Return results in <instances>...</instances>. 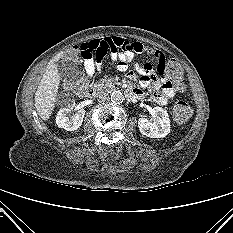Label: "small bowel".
<instances>
[{"instance_id":"1","label":"small bowel","mask_w":233,"mask_h":233,"mask_svg":"<svg viewBox=\"0 0 233 233\" xmlns=\"http://www.w3.org/2000/svg\"><path fill=\"white\" fill-rule=\"evenodd\" d=\"M79 54L83 58L86 74L92 77L95 73L101 71V63L105 56L110 54L112 61L117 63L118 69L124 71L134 58V53H146L157 60V70L159 71L165 62L164 54L156 49L148 48L140 42H132L119 37H106L101 39H93L82 43L78 47ZM154 67L150 63H146L140 68L141 78L140 86L147 88L150 84L154 89L152 99L158 105L167 104L169 98L175 96L178 90L169 85V80L154 76ZM130 79H136V74L132 71L128 72ZM137 98L143 95L142 90H133Z\"/></svg>"}]
</instances>
